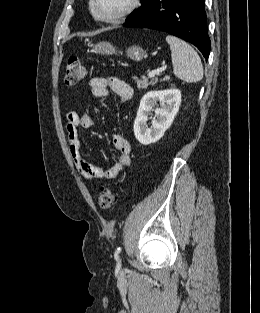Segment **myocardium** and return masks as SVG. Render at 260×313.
I'll return each mask as SVG.
<instances>
[{"mask_svg": "<svg viewBox=\"0 0 260 313\" xmlns=\"http://www.w3.org/2000/svg\"><path fill=\"white\" fill-rule=\"evenodd\" d=\"M140 0H130L128 6L120 13L113 16L101 15L97 9V0H91V10L94 17L104 23H118L130 16L139 6Z\"/></svg>", "mask_w": 260, "mask_h": 313, "instance_id": "myocardium-1", "label": "myocardium"}]
</instances>
